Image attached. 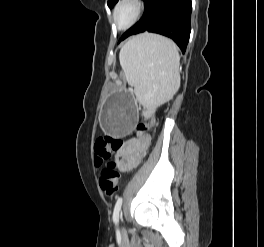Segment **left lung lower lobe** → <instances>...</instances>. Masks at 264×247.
<instances>
[{"mask_svg":"<svg viewBox=\"0 0 264 247\" xmlns=\"http://www.w3.org/2000/svg\"><path fill=\"white\" fill-rule=\"evenodd\" d=\"M142 18L126 31L119 42L130 35L154 32L171 38L185 53L190 37V0H145Z\"/></svg>","mask_w":264,"mask_h":247,"instance_id":"left-lung-lower-lobe-1","label":"left lung lower lobe"}]
</instances>
